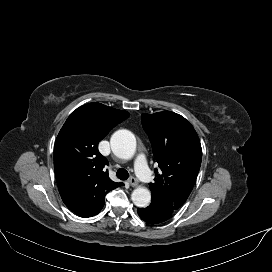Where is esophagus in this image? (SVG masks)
Masks as SVG:
<instances>
[{
  "label": "esophagus",
  "mask_w": 272,
  "mask_h": 272,
  "mask_svg": "<svg viewBox=\"0 0 272 272\" xmlns=\"http://www.w3.org/2000/svg\"><path fill=\"white\" fill-rule=\"evenodd\" d=\"M128 182L132 187H136L138 185V182L135 177H130Z\"/></svg>",
  "instance_id": "esophagus-1"
}]
</instances>
